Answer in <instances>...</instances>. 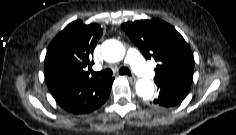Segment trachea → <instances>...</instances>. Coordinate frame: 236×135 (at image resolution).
Masks as SVG:
<instances>
[{
    "instance_id": "trachea-1",
    "label": "trachea",
    "mask_w": 236,
    "mask_h": 135,
    "mask_svg": "<svg viewBox=\"0 0 236 135\" xmlns=\"http://www.w3.org/2000/svg\"><path fill=\"white\" fill-rule=\"evenodd\" d=\"M119 74L130 76L131 72L128 68L123 67V68L119 69ZM92 75L97 76V77H101V78H109V77L112 76V70L111 69H106V70H103V71H100V72H92Z\"/></svg>"
}]
</instances>
